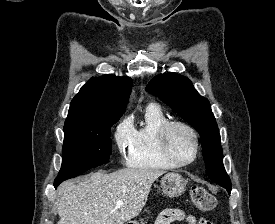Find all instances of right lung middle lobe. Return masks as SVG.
Instances as JSON below:
<instances>
[{
	"label": "right lung middle lobe",
	"instance_id": "obj_1",
	"mask_svg": "<svg viewBox=\"0 0 275 224\" xmlns=\"http://www.w3.org/2000/svg\"><path fill=\"white\" fill-rule=\"evenodd\" d=\"M117 120L64 125L62 167L54 183L106 163L112 149L110 130Z\"/></svg>",
	"mask_w": 275,
	"mask_h": 224
}]
</instances>
